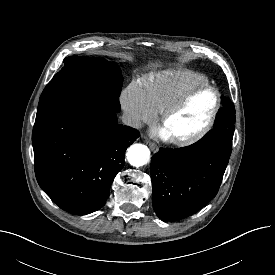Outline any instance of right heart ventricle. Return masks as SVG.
Returning a JSON list of instances; mask_svg holds the SVG:
<instances>
[{"label": "right heart ventricle", "mask_w": 275, "mask_h": 275, "mask_svg": "<svg viewBox=\"0 0 275 275\" xmlns=\"http://www.w3.org/2000/svg\"><path fill=\"white\" fill-rule=\"evenodd\" d=\"M207 84L205 76L187 70H166L150 75L143 85L146 98L155 113L179 99L190 89Z\"/></svg>", "instance_id": "e07e8e85"}]
</instances>
